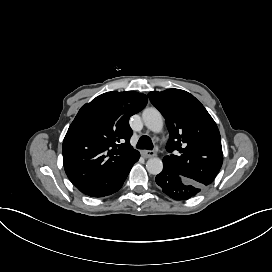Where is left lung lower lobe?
<instances>
[{
	"instance_id": "1",
	"label": "left lung lower lobe",
	"mask_w": 272,
	"mask_h": 272,
	"mask_svg": "<svg viewBox=\"0 0 272 272\" xmlns=\"http://www.w3.org/2000/svg\"><path fill=\"white\" fill-rule=\"evenodd\" d=\"M163 192L174 200H187L197 195L204 186L186 179L173 169L163 165V171L155 178Z\"/></svg>"
}]
</instances>
